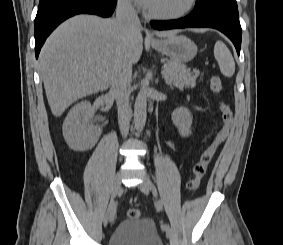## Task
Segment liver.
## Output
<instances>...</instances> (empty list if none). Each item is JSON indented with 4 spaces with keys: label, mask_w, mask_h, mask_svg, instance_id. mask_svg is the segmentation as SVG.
<instances>
[{
    "label": "liver",
    "mask_w": 283,
    "mask_h": 245,
    "mask_svg": "<svg viewBox=\"0 0 283 245\" xmlns=\"http://www.w3.org/2000/svg\"><path fill=\"white\" fill-rule=\"evenodd\" d=\"M140 26L123 30L116 19L77 15L62 23L46 40L39 71L51 112L58 117L76 100L104 91L119 62L135 64L143 51ZM158 37L173 31H157Z\"/></svg>",
    "instance_id": "obj_1"
}]
</instances>
